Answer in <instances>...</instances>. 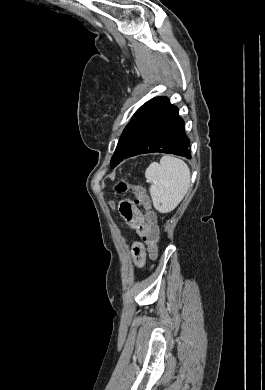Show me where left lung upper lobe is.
<instances>
[{
	"label": "left lung upper lobe",
	"instance_id": "1",
	"mask_svg": "<svg viewBox=\"0 0 265 390\" xmlns=\"http://www.w3.org/2000/svg\"><path fill=\"white\" fill-rule=\"evenodd\" d=\"M149 102V101H148ZM147 102V103H148ZM145 103L144 105H142L137 111L136 113L133 115L131 121L128 123V125L126 126V128L124 129L120 139H119V142H118V145L116 147V150H115V153L114 155L112 156L111 158V167L114 168L115 167V163L117 162L118 158H119V155L120 153L122 152V150L124 149V147L126 146V143L132 133V130H133V127H134V124L136 122V119L140 113V111L142 110V108L147 104Z\"/></svg>",
	"mask_w": 265,
	"mask_h": 390
}]
</instances>
